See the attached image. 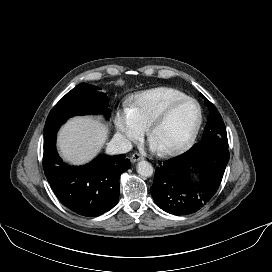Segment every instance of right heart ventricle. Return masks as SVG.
Segmentation results:
<instances>
[{"mask_svg":"<svg viewBox=\"0 0 272 272\" xmlns=\"http://www.w3.org/2000/svg\"><path fill=\"white\" fill-rule=\"evenodd\" d=\"M186 96L184 92L171 87L152 88L134 94L129 99V109L146 129L169 103Z\"/></svg>","mask_w":272,"mask_h":272,"instance_id":"obj_1","label":"right heart ventricle"}]
</instances>
